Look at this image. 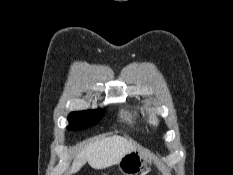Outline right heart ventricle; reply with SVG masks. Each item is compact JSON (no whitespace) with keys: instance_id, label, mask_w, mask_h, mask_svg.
Wrapping results in <instances>:
<instances>
[{"instance_id":"obj_1","label":"right heart ventricle","mask_w":233,"mask_h":175,"mask_svg":"<svg viewBox=\"0 0 233 175\" xmlns=\"http://www.w3.org/2000/svg\"><path fill=\"white\" fill-rule=\"evenodd\" d=\"M121 116L130 124H135L142 120L141 112L135 107L123 109Z\"/></svg>"}]
</instances>
